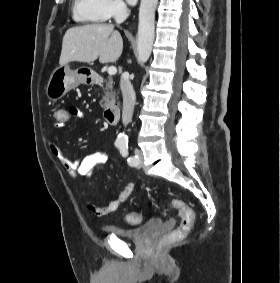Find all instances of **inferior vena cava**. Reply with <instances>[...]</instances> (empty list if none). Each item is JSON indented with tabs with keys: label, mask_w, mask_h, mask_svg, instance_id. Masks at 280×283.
<instances>
[{
	"label": "inferior vena cava",
	"mask_w": 280,
	"mask_h": 283,
	"mask_svg": "<svg viewBox=\"0 0 280 283\" xmlns=\"http://www.w3.org/2000/svg\"><path fill=\"white\" fill-rule=\"evenodd\" d=\"M120 89L123 95L122 122L126 126L132 119L136 95L128 76H121Z\"/></svg>",
	"instance_id": "obj_1"
}]
</instances>
